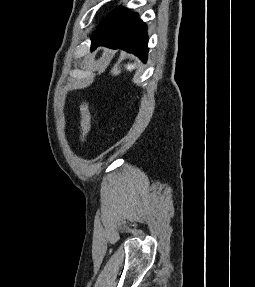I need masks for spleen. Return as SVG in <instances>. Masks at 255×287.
Listing matches in <instances>:
<instances>
[{"label": "spleen", "instance_id": "obj_1", "mask_svg": "<svg viewBox=\"0 0 255 287\" xmlns=\"http://www.w3.org/2000/svg\"><path fill=\"white\" fill-rule=\"evenodd\" d=\"M134 66H128L127 70H133Z\"/></svg>", "mask_w": 255, "mask_h": 287}]
</instances>
